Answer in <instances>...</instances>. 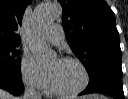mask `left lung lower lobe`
I'll return each instance as SVG.
<instances>
[{
	"label": "left lung lower lobe",
	"mask_w": 128,
	"mask_h": 99,
	"mask_svg": "<svg viewBox=\"0 0 128 99\" xmlns=\"http://www.w3.org/2000/svg\"><path fill=\"white\" fill-rule=\"evenodd\" d=\"M88 74L89 84L80 95L101 93L115 99H124L121 62H98Z\"/></svg>",
	"instance_id": "obj_1"
}]
</instances>
